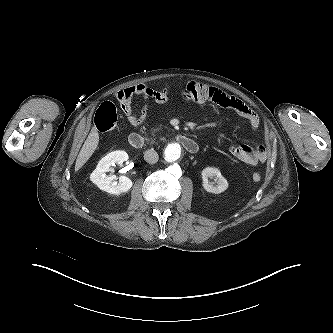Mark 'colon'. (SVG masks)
Wrapping results in <instances>:
<instances>
[{"instance_id": "obj_1", "label": "colon", "mask_w": 333, "mask_h": 333, "mask_svg": "<svg viewBox=\"0 0 333 333\" xmlns=\"http://www.w3.org/2000/svg\"><path fill=\"white\" fill-rule=\"evenodd\" d=\"M94 124L100 132H109L113 130L117 125L115 105L111 102L102 103L95 113ZM261 178L259 173H254L252 175V180L254 182H259Z\"/></svg>"}]
</instances>
